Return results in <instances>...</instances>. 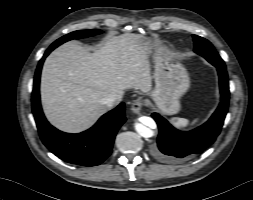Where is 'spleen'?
I'll return each instance as SVG.
<instances>
[{"label":"spleen","instance_id":"1","mask_svg":"<svg viewBox=\"0 0 253 200\" xmlns=\"http://www.w3.org/2000/svg\"><path fill=\"white\" fill-rule=\"evenodd\" d=\"M171 123L174 124L177 128H186L189 125H195L199 119H195L193 122H189V120L184 118H172L170 119Z\"/></svg>","mask_w":253,"mask_h":200}]
</instances>
